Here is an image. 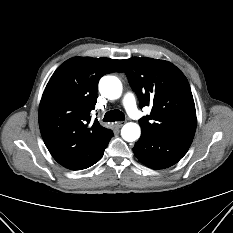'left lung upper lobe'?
<instances>
[{"instance_id":"left-lung-upper-lobe-1","label":"left lung upper lobe","mask_w":233,"mask_h":233,"mask_svg":"<svg viewBox=\"0 0 233 233\" xmlns=\"http://www.w3.org/2000/svg\"><path fill=\"white\" fill-rule=\"evenodd\" d=\"M121 63L140 107L152 106L150 115L139 120L142 131L193 140L196 110L184 74L165 60L136 57Z\"/></svg>"}]
</instances>
